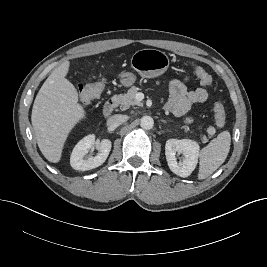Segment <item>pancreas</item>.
<instances>
[{"label": "pancreas", "mask_w": 267, "mask_h": 267, "mask_svg": "<svg viewBox=\"0 0 267 267\" xmlns=\"http://www.w3.org/2000/svg\"><path fill=\"white\" fill-rule=\"evenodd\" d=\"M138 90L139 88L132 86L126 94H120L117 96V102L122 110H126L132 105H140V102L136 100V94ZM193 121L194 120L192 117H186L184 119L185 124H191L193 123ZM200 137L203 143H206L208 141V138L205 135H201Z\"/></svg>", "instance_id": "obj_1"}]
</instances>
